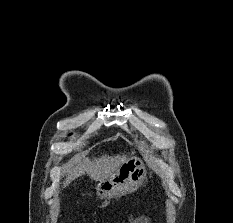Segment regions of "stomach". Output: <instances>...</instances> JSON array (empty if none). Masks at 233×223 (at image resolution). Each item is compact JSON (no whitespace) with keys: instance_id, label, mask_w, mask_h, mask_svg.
<instances>
[{"instance_id":"obj_1","label":"stomach","mask_w":233,"mask_h":223,"mask_svg":"<svg viewBox=\"0 0 233 223\" xmlns=\"http://www.w3.org/2000/svg\"><path fill=\"white\" fill-rule=\"evenodd\" d=\"M147 169L143 159L132 155L121 161L113 173L96 183L95 193L100 199H117L136 191L146 179Z\"/></svg>"}]
</instances>
